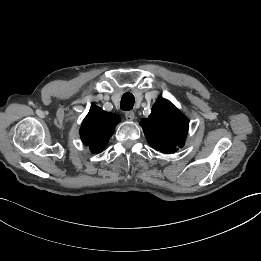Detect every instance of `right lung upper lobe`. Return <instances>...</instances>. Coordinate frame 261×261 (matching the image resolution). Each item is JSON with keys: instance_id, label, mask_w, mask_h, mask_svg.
<instances>
[{"instance_id": "right-lung-upper-lobe-1", "label": "right lung upper lobe", "mask_w": 261, "mask_h": 261, "mask_svg": "<svg viewBox=\"0 0 261 261\" xmlns=\"http://www.w3.org/2000/svg\"><path fill=\"white\" fill-rule=\"evenodd\" d=\"M120 122L116 114L108 113L97 106H93L82 122L80 136L85 145L90 146L93 153L101 152Z\"/></svg>"}]
</instances>
